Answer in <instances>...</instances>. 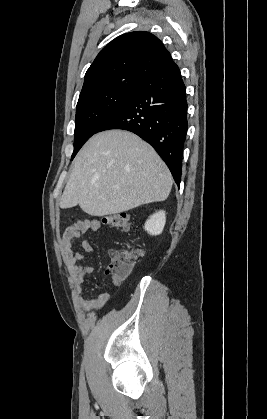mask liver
<instances>
[{
	"label": "liver",
	"mask_w": 267,
	"mask_h": 419,
	"mask_svg": "<svg viewBox=\"0 0 267 419\" xmlns=\"http://www.w3.org/2000/svg\"><path fill=\"white\" fill-rule=\"evenodd\" d=\"M172 183L168 167L148 143L128 131H104L76 156L60 207L79 205L92 216L117 214L164 201Z\"/></svg>",
	"instance_id": "liver-1"
}]
</instances>
